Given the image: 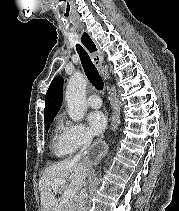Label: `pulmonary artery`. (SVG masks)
I'll use <instances>...</instances> for the list:
<instances>
[{
  "label": "pulmonary artery",
  "mask_w": 179,
  "mask_h": 211,
  "mask_svg": "<svg viewBox=\"0 0 179 211\" xmlns=\"http://www.w3.org/2000/svg\"><path fill=\"white\" fill-rule=\"evenodd\" d=\"M88 104L91 108L98 109L102 106V101L99 95L92 94L88 98Z\"/></svg>",
  "instance_id": "1"
}]
</instances>
